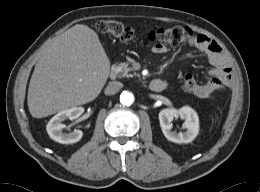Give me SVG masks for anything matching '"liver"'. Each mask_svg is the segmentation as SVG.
I'll return each instance as SVG.
<instances>
[{
	"mask_svg": "<svg viewBox=\"0 0 260 192\" xmlns=\"http://www.w3.org/2000/svg\"><path fill=\"white\" fill-rule=\"evenodd\" d=\"M110 61L97 33L77 24L59 36L35 65L28 109L35 118L86 104L104 87Z\"/></svg>",
	"mask_w": 260,
	"mask_h": 192,
	"instance_id": "obj_1",
	"label": "liver"
}]
</instances>
